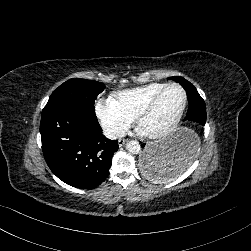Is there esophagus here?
Returning <instances> with one entry per match:
<instances>
[{"label":"esophagus","mask_w":251,"mask_h":251,"mask_svg":"<svg viewBox=\"0 0 251 251\" xmlns=\"http://www.w3.org/2000/svg\"><path fill=\"white\" fill-rule=\"evenodd\" d=\"M126 141L127 139H119L118 140L119 147H122Z\"/></svg>","instance_id":"obj_1"}]
</instances>
